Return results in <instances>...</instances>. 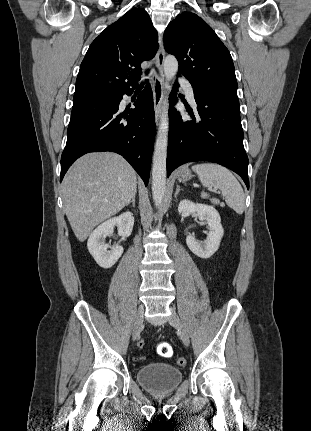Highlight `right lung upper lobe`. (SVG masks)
<instances>
[{"instance_id": "1", "label": "right lung upper lobe", "mask_w": 311, "mask_h": 431, "mask_svg": "<svg viewBox=\"0 0 311 431\" xmlns=\"http://www.w3.org/2000/svg\"><path fill=\"white\" fill-rule=\"evenodd\" d=\"M157 39L144 9L128 11L90 45L80 66L74 97L117 94L136 86L141 63L158 50Z\"/></svg>"}]
</instances>
